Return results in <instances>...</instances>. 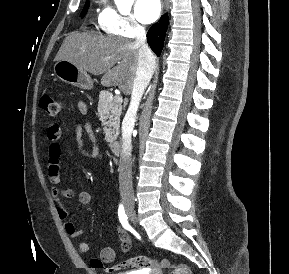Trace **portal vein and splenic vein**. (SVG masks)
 Segmentation results:
<instances>
[{"mask_svg": "<svg viewBox=\"0 0 289 274\" xmlns=\"http://www.w3.org/2000/svg\"><path fill=\"white\" fill-rule=\"evenodd\" d=\"M115 97H116L117 101H119V102H122V101H123V99H122L121 96H115Z\"/></svg>", "mask_w": 289, "mask_h": 274, "instance_id": "1", "label": "portal vein and splenic vein"}]
</instances>
